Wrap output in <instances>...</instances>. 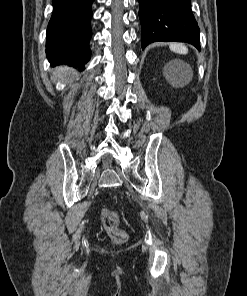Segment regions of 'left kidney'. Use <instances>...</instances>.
Instances as JSON below:
<instances>
[{
	"instance_id": "obj_1",
	"label": "left kidney",
	"mask_w": 247,
	"mask_h": 296,
	"mask_svg": "<svg viewBox=\"0 0 247 296\" xmlns=\"http://www.w3.org/2000/svg\"><path fill=\"white\" fill-rule=\"evenodd\" d=\"M170 66H172V67H179V64L177 62H172V63H170Z\"/></svg>"
}]
</instances>
